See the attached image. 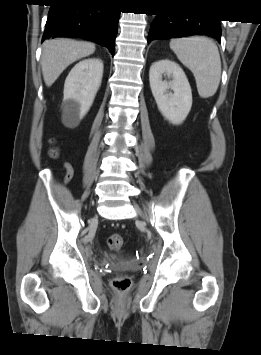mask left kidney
<instances>
[{
  "mask_svg": "<svg viewBox=\"0 0 261 355\" xmlns=\"http://www.w3.org/2000/svg\"><path fill=\"white\" fill-rule=\"evenodd\" d=\"M149 81L161 114L172 124H181L192 106V91L183 69L168 59L156 61L150 67Z\"/></svg>",
  "mask_w": 261,
  "mask_h": 355,
  "instance_id": "left-kidney-1",
  "label": "left kidney"
}]
</instances>
